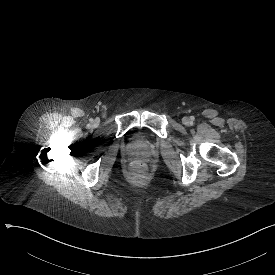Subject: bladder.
Wrapping results in <instances>:
<instances>
[{"mask_svg":"<svg viewBox=\"0 0 275 275\" xmlns=\"http://www.w3.org/2000/svg\"><path fill=\"white\" fill-rule=\"evenodd\" d=\"M141 139V137H139V136H132L131 138H130V141H132V142H138L139 140Z\"/></svg>","mask_w":275,"mask_h":275,"instance_id":"1","label":"bladder"}]
</instances>
